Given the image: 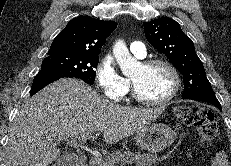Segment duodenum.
I'll list each match as a JSON object with an SVG mask.
<instances>
[{
  "instance_id": "obj_1",
  "label": "duodenum",
  "mask_w": 231,
  "mask_h": 166,
  "mask_svg": "<svg viewBox=\"0 0 231 166\" xmlns=\"http://www.w3.org/2000/svg\"><path fill=\"white\" fill-rule=\"evenodd\" d=\"M62 166H87V157L84 154H67L63 161Z\"/></svg>"
}]
</instances>
